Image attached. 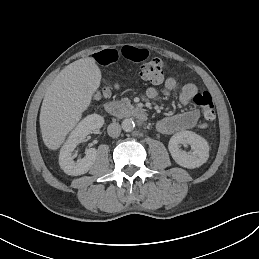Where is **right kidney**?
<instances>
[{"label": "right kidney", "instance_id": "1", "mask_svg": "<svg viewBox=\"0 0 259 259\" xmlns=\"http://www.w3.org/2000/svg\"><path fill=\"white\" fill-rule=\"evenodd\" d=\"M104 124V118L98 114H91L78 123L76 128L70 133L67 141L62 146L59 155V164L64 172L68 175L78 176L85 174L93 166L97 151L90 148L85 151V157L73 160L72 152L76 146L83 141L86 136L96 129H100Z\"/></svg>", "mask_w": 259, "mask_h": 259}]
</instances>
